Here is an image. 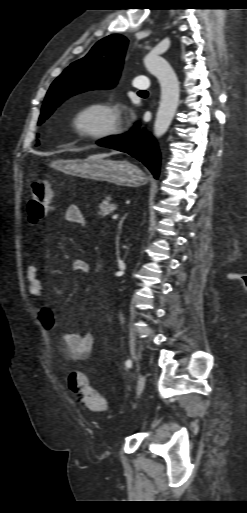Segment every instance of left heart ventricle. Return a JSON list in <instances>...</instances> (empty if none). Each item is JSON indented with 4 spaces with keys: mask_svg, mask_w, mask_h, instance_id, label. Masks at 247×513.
Instances as JSON below:
<instances>
[{
    "mask_svg": "<svg viewBox=\"0 0 247 513\" xmlns=\"http://www.w3.org/2000/svg\"><path fill=\"white\" fill-rule=\"evenodd\" d=\"M87 122L89 124H99L103 122V118L100 115L95 114L88 118Z\"/></svg>",
    "mask_w": 247,
    "mask_h": 513,
    "instance_id": "obj_1",
    "label": "left heart ventricle"
}]
</instances>
